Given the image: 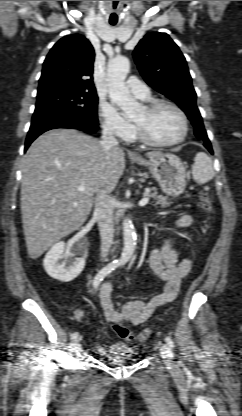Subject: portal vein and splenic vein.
<instances>
[{"label":"portal vein and splenic vein","mask_w":242,"mask_h":416,"mask_svg":"<svg viewBox=\"0 0 242 416\" xmlns=\"http://www.w3.org/2000/svg\"><path fill=\"white\" fill-rule=\"evenodd\" d=\"M78 190L82 192V191L85 190V187L81 185V186L78 187ZM148 202H149V198L144 197L139 201V205L140 206H145Z\"/></svg>","instance_id":"18ae733b"}]
</instances>
